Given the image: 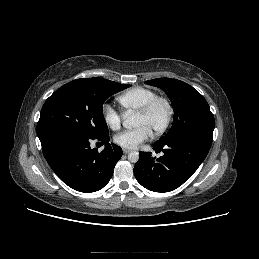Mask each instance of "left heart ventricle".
I'll return each instance as SVG.
<instances>
[{"label":"left heart ventricle","instance_id":"1","mask_svg":"<svg viewBox=\"0 0 259 259\" xmlns=\"http://www.w3.org/2000/svg\"><path fill=\"white\" fill-rule=\"evenodd\" d=\"M167 118V109L164 104H158L153 111L147 115L143 116L140 114H137L136 117V127L139 126H147L152 130V132H155L157 129H159Z\"/></svg>","mask_w":259,"mask_h":259}]
</instances>
